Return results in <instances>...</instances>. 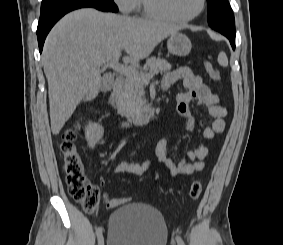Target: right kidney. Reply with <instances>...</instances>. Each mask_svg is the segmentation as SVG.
Instances as JSON below:
<instances>
[{
	"mask_svg": "<svg viewBox=\"0 0 283 245\" xmlns=\"http://www.w3.org/2000/svg\"><path fill=\"white\" fill-rule=\"evenodd\" d=\"M104 134L102 126L96 123H89L85 128V137L90 148H94Z\"/></svg>",
	"mask_w": 283,
	"mask_h": 245,
	"instance_id": "ca27d5eb",
	"label": "right kidney"
}]
</instances>
